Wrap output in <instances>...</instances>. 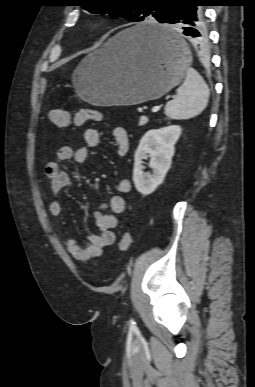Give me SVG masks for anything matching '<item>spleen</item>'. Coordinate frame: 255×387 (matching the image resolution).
I'll return each mask as SVG.
<instances>
[{
    "mask_svg": "<svg viewBox=\"0 0 255 387\" xmlns=\"http://www.w3.org/2000/svg\"><path fill=\"white\" fill-rule=\"evenodd\" d=\"M176 91V98L165 107V114L170 119L193 118L202 113L208 105L209 88L199 73L191 67L187 68L186 78Z\"/></svg>",
    "mask_w": 255,
    "mask_h": 387,
    "instance_id": "3e777b00",
    "label": "spleen"
}]
</instances>
